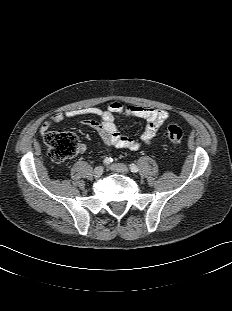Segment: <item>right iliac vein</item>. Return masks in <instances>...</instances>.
I'll use <instances>...</instances> for the list:
<instances>
[{"mask_svg":"<svg viewBox=\"0 0 232 311\" xmlns=\"http://www.w3.org/2000/svg\"><path fill=\"white\" fill-rule=\"evenodd\" d=\"M104 172V168L102 166H98L94 169V177L99 178L102 176Z\"/></svg>","mask_w":232,"mask_h":311,"instance_id":"1","label":"right iliac vein"}]
</instances>
